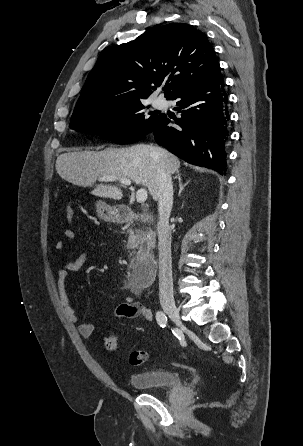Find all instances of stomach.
<instances>
[{"label":"stomach","instance_id":"0dacf381","mask_svg":"<svg viewBox=\"0 0 303 446\" xmlns=\"http://www.w3.org/2000/svg\"><path fill=\"white\" fill-rule=\"evenodd\" d=\"M96 212L100 218L106 221H113L118 217V211L102 201H97Z\"/></svg>","mask_w":303,"mask_h":446}]
</instances>
